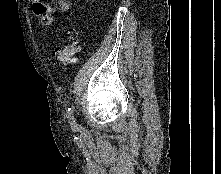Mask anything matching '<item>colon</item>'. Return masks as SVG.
<instances>
[{"instance_id":"colon-1","label":"colon","mask_w":221,"mask_h":174,"mask_svg":"<svg viewBox=\"0 0 221 174\" xmlns=\"http://www.w3.org/2000/svg\"><path fill=\"white\" fill-rule=\"evenodd\" d=\"M77 31L74 28L68 30V40L54 53V61L61 65L74 64L77 61V53L79 51L78 44L74 41Z\"/></svg>"}]
</instances>
